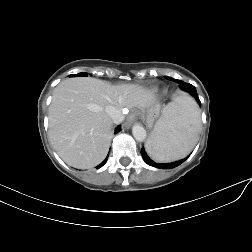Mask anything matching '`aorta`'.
I'll use <instances>...</instances> for the list:
<instances>
[{"mask_svg":"<svg viewBox=\"0 0 252 252\" xmlns=\"http://www.w3.org/2000/svg\"><path fill=\"white\" fill-rule=\"evenodd\" d=\"M132 134L137 141H144L146 138V130L139 124H136L132 128Z\"/></svg>","mask_w":252,"mask_h":252,"instance_id":"obj_1","label":"aorta"}]
</instances>
